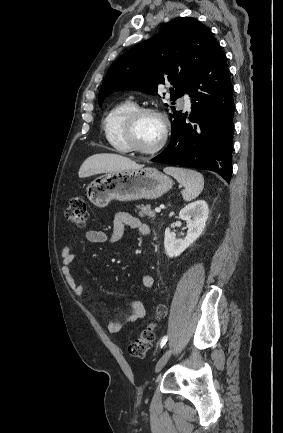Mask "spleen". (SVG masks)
<instances>
[{
  "mask_svg": "<svg viewBox=\"0 0 283 433\" xmlns=\"http://www.w3.org/2000/svg\"><path fill=\"white\" fill-rule=\"evenodd\" d=\"M166 174L174 176L180 184L185 186L182 190V196L184 200H193L196 198L204 188V176L197 170H190V168H178V166H166L163 168Z\"/></svg>",
  "mask_w": 283,
  "mask_h": 433,
  "instance_id": "1",
  "label": "spleen"
}]
</instances>
